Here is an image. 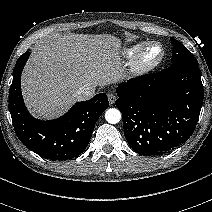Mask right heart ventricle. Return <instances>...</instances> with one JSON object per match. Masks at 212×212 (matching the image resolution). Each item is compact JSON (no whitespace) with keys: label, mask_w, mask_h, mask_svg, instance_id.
<instances>
[{"label":"right heart ventricle","mask_w":212,"mask_h":212,"mask_svg":"<svg viewBox=\"0 0 212 212\" xmlns=\"http://www.w3.org/2000/svg\"><path fill=\"white\" fill-rule=\"evenodd\" d=\"M137 50H138V48L131 49L128 51V54L132 55V54L136 53Z\"/></svg>","instance_id":"1"}]
</instances>
